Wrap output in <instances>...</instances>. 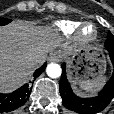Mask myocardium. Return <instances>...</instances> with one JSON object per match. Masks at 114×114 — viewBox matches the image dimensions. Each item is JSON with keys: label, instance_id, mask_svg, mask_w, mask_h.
Masks as SVG:
<instances>
[{"label": "myocardium", "instance_id": "obj_1", "mask_svg": "<svg viewBox=\"0 0 114 114\" xmlns=\"http://www.w3.org/2000/svg\"><path fill=\"white\" fill-rule=\"evenodd\" d=\"M87 27H90L92 29V32L90 34H85L84 32ZM76 35L79 40L83 42H90V41H93L97 37V30L94 27V25L90 23H86L79 27Z\"/></svg>", "mask_w": 114, "mask_h": 114}]
</instances>
